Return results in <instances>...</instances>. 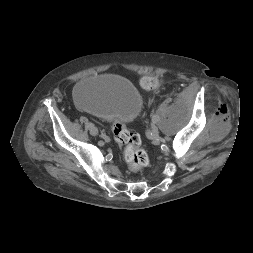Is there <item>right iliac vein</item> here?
I'll return each mask as SVG.
<instances>
[{"label":"right iliac vein","instance_id":"1","mask_svg":"<svg viewBox=\"0 0 253 253\" xmlns=\"http://www.w3.org/2000/svg\"><path fill=\"white\" fill-rule=\"evenodd\" d=\"M90 133L95 136L98 134V129L95 126H92L90 128Z\"/></svg>","mask_w":253,"mask_h":253}]
</instances>
